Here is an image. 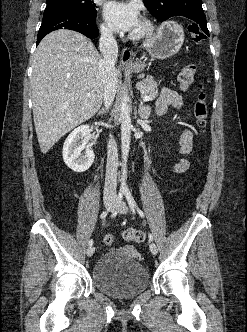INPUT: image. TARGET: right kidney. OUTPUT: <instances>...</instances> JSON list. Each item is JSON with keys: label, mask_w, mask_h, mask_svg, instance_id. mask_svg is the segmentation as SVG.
<instances>
[{"label": "right kidney", "mask_w": 247, "mask_h": 332, "mask_svg": "<svg viewBox=\"0 0 247 332\" xmlns=\"http://www.w3.org/2000/svg\"><path fill=\"white\" fill-rule=\"evenodd\" d=\"M90 130L89 125H82L74 129L66 138L63 145V160L65 164L75 172H84L90 168L94 162L95 155L91 148H85L80 144Z\"/></svg>", "instance_id": "ca27d5eb"}]
</instances>
